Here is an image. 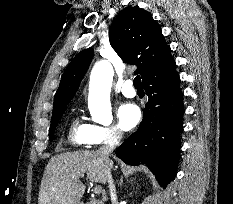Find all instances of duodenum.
Listing matches in <instances>:
<instances>
[{
    "label": "duodenum",
    "instance_id": "410a0bca",
    "mask_svg": "<svg viewBox=\"0 0 233 204\" xmlns=\"http://www.w3.org/2000/svg\"><path fill=\"white\" fill-rule=\"evenodd\" d=\"M81 204H102L101 202H89V203H81Z\"/></svg>",
    "mask_w": 233,
    "mask_h": 204
}]
</instances>
